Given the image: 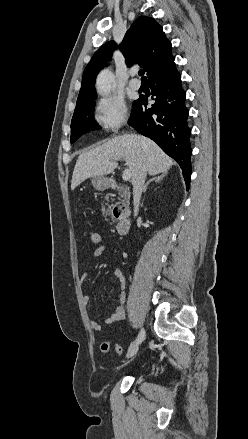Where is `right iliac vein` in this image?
Segmentation results:
<instances>
[{
  "instance_id": "63e3f726",
  "label": "right iliac vein",
  "mask_w": 248,
  "mask_h": 439,
  "mask_svg": "<svg viewBox=\"0 0 248 439\" xmlns=\"http://www.w3.org/2000/svg\"><path fill=\"white\" fill-rule=\"evenodd\" d=\"M140 343H142V342H139L137 339H136V343L135 344H132L131 346H130V348L128 349V352H127V354H126V357L127 358H131V357H133L136 353H137V351H138V347H139V344Z\"/></svg>"
}]
</instances>
